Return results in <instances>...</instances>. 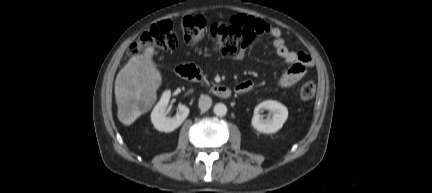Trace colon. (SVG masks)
<instances>
[{
    "instance_id": "5ec220e1",
    "label": "colon",
    "mask_w": 432,
    "mask_h": 193,
    "mask_svg": "<svg viewBox=\"0 0 432 193\" xmlns=\"http://www.w3.org/2000/svg\"><path fill=\"white\" fill-rule=\"evenodd\" d=\"M183 41L190 47L196 46L209 32L213 49L216 53L231 57L240 48L246 46L253 35L250 30L241 25L233 23H212L207 24L202 16H186L181 22ZM179 37L173 29L170 21H161L147 28L129 48L130 55H137L145 47H153L162 51H170L179 45ZM316 85L313 81L305 82L300 88V97L303 100H310L315 96Z\"/></svg>"
}]
</instances>
